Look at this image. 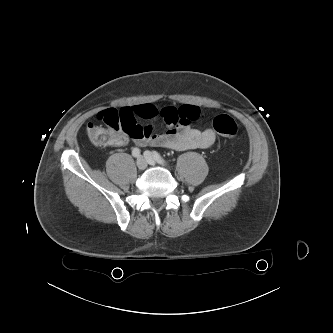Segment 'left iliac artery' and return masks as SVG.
<instances>
[{
	"instance_id": "1",
	"label": "left iliac artery",
	"mask_w": 333,
	"mask_h": 333,
	"mask_svg": "<svg viewBox=\"0 0 333 333\" xmlns=\"http://www.w3.org/2000/svg\"><path fill=\"white\" fill-rule=\"evenodd\" d=\"M151 155L158 163L160 164H167V162L162 158V156L156 152V151H152V152H149V151H146L144 153V156H149Z\"/></svg>"
}]
</instances>
